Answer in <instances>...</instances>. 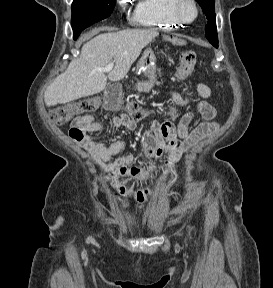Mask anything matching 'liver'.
I'll return each instance as SVG.
<instances>
[{
    "mask_svg": "<svg viewBox=\"0 0 273 288\" xmlns=\"http://www.w3.org/2000/svg\"><path fill=\"white\" fill-rule=\"evenodd\" d=\"M153 29H126L97 35L83 45L80 56L46 89L47 107L65 104L103 91L110 81H120L155 37ZM115 62L108 75L102 71Z\"/></svg>",
    "mask_w": 273,
    "mask_h": 288,
    "instance_id": "6515ba94",
    "label": "liver"
}]
</instances>
